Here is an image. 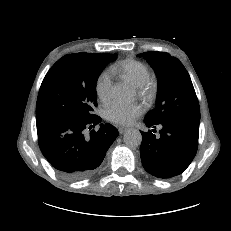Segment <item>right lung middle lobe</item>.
<instances>
[{
    "instance_id": "1",
    "label": "right lung middle lobe",
    "mask_w": 231,
    "mask_h": 231,
    "mask_svg": "<svg viewBox=\"0 0 231 231\" xmlns=\"http://www.w3.org/2000/svg\"><path fill=\"white\" fill-rule=\"evenodd\" d=\"M115 54L74 53L59 59L48 71L41 84L36 119L64 117L90 120L96 106V82Z\"/></svg>"
}]
</instances>
